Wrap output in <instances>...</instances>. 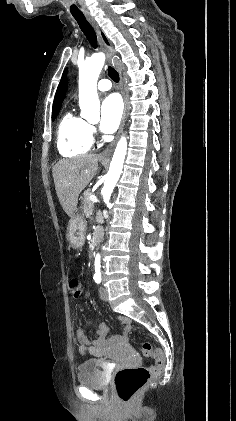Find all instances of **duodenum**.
I'll list each match as a JSON object with an SVG mask.
<instances>
[{
    "label": "duodenum",
    "mask_w": 236,
    "mask_h": 421,
    "mask_svg": "<svg viewBox=\"0 0 236 421\" xmlns=\"http://www.w3.org/2000/svg\"><path fill=\"white\" fill-rule=\"evenodd\" d=\"M102 236H103L102 230L100 228H97L93 233L92 245L96 246L100 242ZM125 323H126V331H125L122 339L126 338L127 331L130 328L129 324L127 322H125ZM105 335H106V332L103 331V330H100L99 331V339L92 342V343H89L87 337L83 333L80 334L79 338H80L81 343L83 344V349H87L86 345L91 344L92 346L89 348L90 351L94 355L103 356V355L106 354L107 346H108L107 342L105 340Z\"/></svg>",
    "instance_id": "duodenum-1"
}]
</instances>
